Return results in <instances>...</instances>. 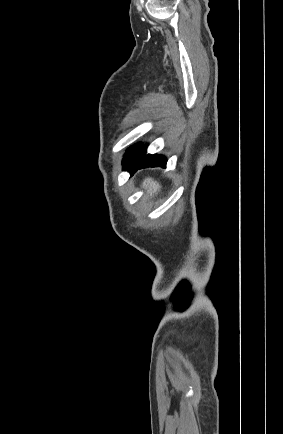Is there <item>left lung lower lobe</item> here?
Returning <instances> with one entry per match:
<instances>
[{
	"mask_svg": "<svg viewBox=\"0 0 283 434\" xmlns=\"http://www.w3.org/2000/svg\"><path fill=\"white\" fill-rule=\"evenodd\" d=\"M167 163L166 158L163 155H144L130 162L123 163L124 170H128L133 175L138 169L147 167H165Z\"/></svg>",
	"mask_w": 283,
	"mask_h": 434,
	"instance_id": "1",
	"label": "left lung lower lobe"
}]
</instances>
